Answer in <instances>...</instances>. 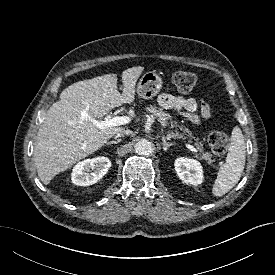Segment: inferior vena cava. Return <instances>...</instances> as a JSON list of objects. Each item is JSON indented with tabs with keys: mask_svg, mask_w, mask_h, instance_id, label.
<instances>
[{
	"mask_svg": "<svg viewBox=\"0 0 275 275\" xmlns=\"http://www.w3.org/2000/svg\"><path fill=\"white\" fill-rule=\"evenodd\" d=\"M130 134H132L131 130L122 129L114 136V138L124 137V136L130 135Z\"/></svg>",
	"mask_w": 275,
	"mask_h": 275,
	"instance_id": "obj_1",
	"label": "inferior vena cava"
}]
</instances>
